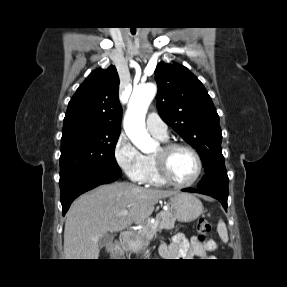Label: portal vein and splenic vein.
Here are the masks:
<instances>
[{
  "mask_svg": "<svg viewBox=\"0 0 287 287\" xmlns=\"http://www.w3.org/2000/svg\"><path fill=\"white\" fill-rule=\"evenodd\" d=\"M127 215H128V211H127V210H124V211H122V212H120V213L118 214L119 217H124V216H127ZM158 223H159V219H156V221L154 222V227H153V229H156V228H157Z\"/></svg>",
  "mask_w": 287,
  "mask_h": 287,
  "instance_id": "obj_1",
  "label": "portal vein and splenic vein"
}]
</instances>
